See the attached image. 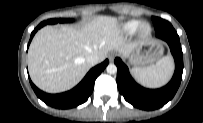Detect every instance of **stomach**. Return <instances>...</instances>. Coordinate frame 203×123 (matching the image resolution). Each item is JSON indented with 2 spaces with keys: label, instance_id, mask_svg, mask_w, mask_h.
<instances>
[{
  "label": "stomach",
  "instance_id": "0dacf381",
  "mask_svg": "<svg viewBox=\"0 0 203 123\" xmlns=\"http://www.w3.org/2000/svg\"><path fill=\"white\" fill-rule=\"evenodd\" d=\"M163 53L164 47L160 41L147 40L140 42L127 58L135 68L147 67L160 60Z\"/></svg>",
  "mask_w": 203,
  "mask_h": 123
}]
</instances>
